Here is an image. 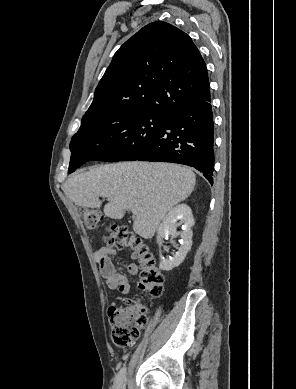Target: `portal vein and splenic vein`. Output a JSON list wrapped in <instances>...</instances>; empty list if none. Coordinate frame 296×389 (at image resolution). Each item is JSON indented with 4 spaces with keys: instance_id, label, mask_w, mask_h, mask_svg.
<instances>
[{
    "instance_id": "1",
    "label": "portal vein and splenic vein",
    "mask_w": 296,
    "mask_h": 389,
    "mask_svg": "<svg viewBox=\"0 0 296 389\" xmlns=\"http://www.w3.org/2000/svg\"><path fill=\"white\" fill-rule=\"evenodd\" d=\"M132 213H133V214H136V210H135V209H132Z\"/></svg>"
}]
</instances>
